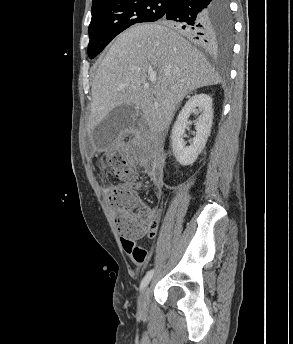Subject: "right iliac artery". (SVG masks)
<instances>
[{
	"mask_svg": "<svg viewBox=\"0 0 293 344\" xmlns=\"http://www.w3.org/2000/svg\"><path fill=\"white\" fill-rule=\"evenodd\" d=\"M154 271L150 270L147 272V274L145 275V277L143 278V280L141 281L140 284V291H143L145 289V287L148 285V283L150 282L152 276H153Z\"/></svg>",
	"mask_w": 293,
	"mask_h": 344,
	"instance_id": "82829eb1",
	"label": "right iliac artery"
}]
</instances>
